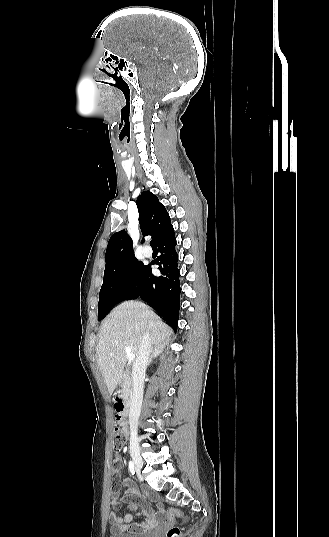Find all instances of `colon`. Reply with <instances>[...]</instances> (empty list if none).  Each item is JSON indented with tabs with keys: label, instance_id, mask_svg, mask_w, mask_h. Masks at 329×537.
I'll use <instances>...</instances> for the list:
<instances>
[{
	"label": "colon",
	"instance_id": "1",
	"mask_svg": "<svg viewBox=\"0 0 329 537\" xmlns=\"http://www.w3.org/2000/svg\"><path fill=\"white\" fill-rule=\"evenodd\" d=\"M116 413H118L117 410H115V417ZM127 439V433L123 428L116 427L113 431V448L116 451H119L123 448V446L126 443ZM168 516L172 520H178L181 518L182 513L178 509H172L169 511ZM180 530L178 527H170L166 532V537H179Z\"/></svg>",
	"mask_w": 329,
	"mask_h": 537
}]
</instances>
